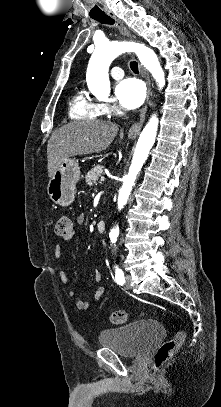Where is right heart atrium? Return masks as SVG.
I'll use <instances>...</instances> for the list:
<instances>
[{"label": "right heart atrium", "mask_w": 221, "mask_h": 407, "mask_svg": "<svg viewBox=\"0 0 221 407\" xmlns=\"http://www.w3.org/2000/svg\"><path fill=\"white\" fill-rule=\"evenodd\" d=\"M98 105L105 114L115 115L119 112V108L114 104L99 103Z\"/></svg>", "instance_id": "1"}]
</instances>
